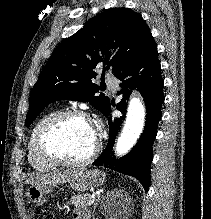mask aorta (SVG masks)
I'll list each match as a JSON object with an SVG mask.
<instances>
[{
    "label": "aorta",
    "instance_id": "aorta-1",
    "mask_svg": "<svg viewBox=\"0 0 211 219\" xmlns=\"http://www.w3.org/2000/svg\"><path fill=\"white\" fill-rule=\"evenodd\" d=\"M145 123V108L138 98H132L125 125L117 140L115 153L120 156L126 154L141 135Z\"/></svg>",
    "mask_w": 211,
    "mask_h": 219
}]
</instances>
